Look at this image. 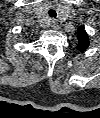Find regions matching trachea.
I'll list each match as a JSON object with an SVG mask.
<instances>
[{"instance_id":"trachea-1","label":"trachea","mask_w":100,"mask_h":118,"mask_svg":"<svg viewBox=\"0 0 100 118\" xmlns=\"http://www.w3.org/2000/svg\"><path fill=\"white\" fill-rule=\"evenodd\" d=\"M48 13H49V16L50 17H54V18H56V11L54 10V9H50L49 11H48Z\"/></svg>"}]
</instances>
